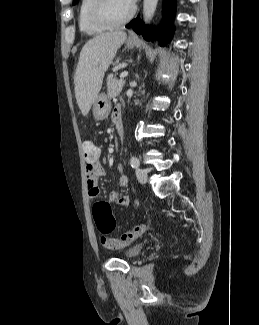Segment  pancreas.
<instances>
[{"label": "pancreas", "instance_id": "obj_1", "mask_svg": "<svg viewBox=\"0 0 259 325\" xmlns=\"http://www.w3.org/2000/svg\"><path fill=\"white\" fill-rule=\"evenodd\" d=\"M124 84H125L124 80H122V79L117 80L113 76V74H110L107 77V95H108V97L110 99L117 97L121 93Z\"/></svg>", "mask_w": 259, "mask_h": 325}]
</instances>
